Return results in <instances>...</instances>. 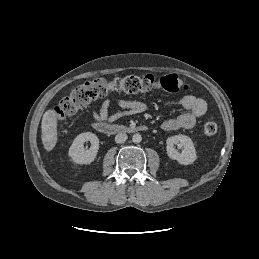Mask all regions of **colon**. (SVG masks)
<instances>
[{
  "mask_svg": "<svg viewBox=\"0 0 259 259\" xmlns=\"http://www.w3.org/2000/svg\"><path fill=\"white\" fill-rule=\"evenodd\" d=\"M163 90L169 93L186 92L189 86L177 75L155 77L151 74L137 76L129 75L113 80L94 79L86 81L74 88L55 107V114L59 120L77 114L85 109L92 101L103 98L111 92L147 93ZM203 133L207 137L217 133V124L208 120L203 125Z\"/></svg>",
  "mask_w": 259,
  "mask_h": 259,
  "instance_id": "5ec220e1",
  "label": "colon"
}]
</instances>
